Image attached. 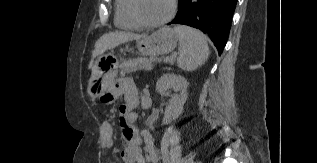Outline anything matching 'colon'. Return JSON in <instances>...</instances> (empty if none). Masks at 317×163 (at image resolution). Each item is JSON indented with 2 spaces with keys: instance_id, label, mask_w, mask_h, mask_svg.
Returning <instances> with one entry per match:
<instances>
[{
  "instance_id": "obj_1",
  "label": "colon",
  "mask_w": 317,
  "mask_h": 163,
  "mask_svg": "<svg viewBox=\"0 0 317 163\" xmlns=\"http://www.w3.org/2000/svg\"><path fill=\"white\" fill-rule=\"evenodd\" d=\"M112 100H113V98H112L111 95H105V96L103 97V102H104V103H110V102H112Z\"/></svg>"
}]
</instances>
